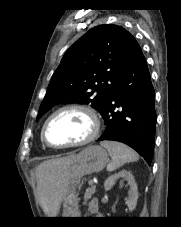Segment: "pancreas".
Segmentation results:
<instances>
[{"instance_id":"1","label":"pancreas","mask_w":181,"mask_h":227,"mask_svg":"<svg viewBox=\"0 0 181 227\" xmlns=\"http://www.w3.org/2000/svg\"><path fill=\"white\" fill-rule=\"evenodd\" d=\"M96 186L92 185L89 188L86 189V192L84 194V200L85 202L89 199H91L92 195L95 193Z\"/></svg>"}]
</instances>
